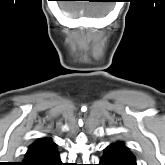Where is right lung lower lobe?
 I'll return each mask as SVG.
<instances>
[{
    "mask_svg": "<svg viewBox=\"0 0 165 165\" xmlns=\"http://www.w3.org/2000/svg\"><path fill=\"white\" fill-rule=\"evenodd\" d=\"M22 165H63V163L53 141L42 138L30 146Z\"/></svg>",
    "mask_w": 165,
    "mask_h": 165,
    "instance_id": "obj_1",
    "label": "right lung lower lobe"
}]
</instances>
